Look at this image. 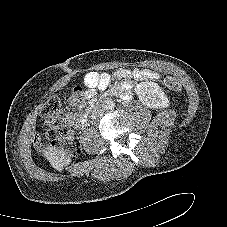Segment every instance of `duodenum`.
Segmentation results:
<instances>
[{"instance_id": "1", "label": "duodenum", "mask_w": 227, "mask_h": 227, "mask_svg": "<svg viewBox=\"0 0 227 227\" xmlns=\"http://www.w3.org/2000/svg\"><path fill=\"white\" fill-rule=\"evenodd\" d=\"M89 113H90V111L84 113L82 115V117L80 118L79 123H80L81 126L85 125V123H86V121L88 119Z\"/></svg>"}]
</instances>
